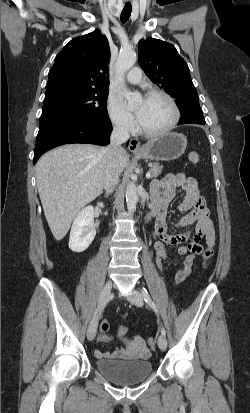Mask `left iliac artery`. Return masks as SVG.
Instances as JSON below:
<instances>
[{
  "label": "left iliac artery",
  "instance_id": "44dca946",
  "mask_svg": "<svg viewBox=\"0 0 250 413\" xmlns=\"http://www.w3.org/2000/svg\"><path fill=\"white\" fill-rule=\"evenodd\" d=\"M141 293H142V296H143L145 302L154 310V312H155L156 314H158V309H157L155 303L152 301V299H151L148 291H147L145 288H143V289L141 290ZM161 334H162L163 336L166 335V330H165L163 327L161 328Z\"/></svg>",
  "mask_w": 250,
  "mask_h": 413
}]
</instances>
